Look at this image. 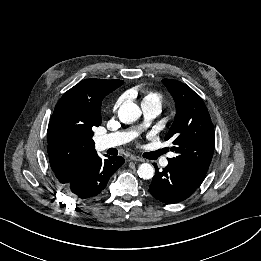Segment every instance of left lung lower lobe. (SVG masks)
I'll return each instance as SVG.
<instances>
[{
	"instance_id": "0a47b994",
	"label": "left lung lower lobe",
	"mask_w": 261,
	"mask_h": 261,
	"mask_svg": "<svg viewBox=\"0 0 261 261\" xmlns=\"http://www.w3.org/2000/svg\"><path fill=\"white\" fill-rule=\"evenodd\" d=\"M197 188L172 165L168 164L162 171H158L155 165V175L149 185V192L160 202L174 204L190 197Z\"/></svg>"
}]
</instances>
